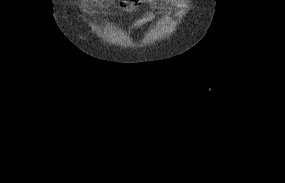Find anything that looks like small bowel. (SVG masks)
Segmentation results:
<instances>
[{
    "label": "small bowel",
    "instance_id": "obj_1",
    "mask_svg": "<svg viewBox=\"0 0 285 183\" xmlns=\"http://www.w3.org/2000/svg\"><path fill=\"white\" fill-rule=\"evenodd\" d=\"M156 0H142V2L153 5ZM120 11L124 12H133L137 10V7L133 4H123L119 7ZM156 17L154 12H148L145 15L141 16L139 19H137L130 27L131 30H136L146 24L147 22L153 20Z\"/></svg>",
    "mask_w": 285,
    "mask_h": 183
}]
</instances>
